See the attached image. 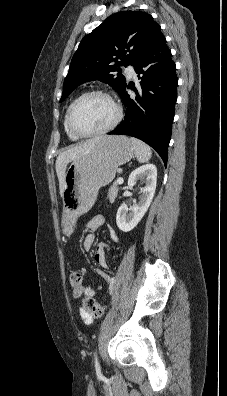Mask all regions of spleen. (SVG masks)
I'll return each instance as SVG.
<instances>
[{"label":"spleen","instance_id":"1","mask_svg":"<svg viewBox=\"0 0 227 396\" xmlns=\"http://www.w3.org/2000/svg\"><path fill=\"white\" fill-rule=\"evenodd\" d=\"M130 141L134 147V152L137 160L140 163L149 161L152 155V151L150 147L141 140H138L136 138H130Z\"/></svg>","mask_w":227,"mask_h":396}]
</instances>
